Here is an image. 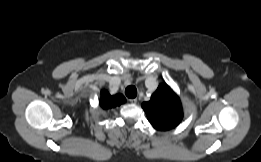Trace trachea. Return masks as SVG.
I'll list each match as a JSON object with an SVG mask.
<instances>
[{
	"mask_svg": "<svg viewBox=\"0 0 261 162\" xmlns=\"http://www.w3.org/2000/svg\"><path fill=\"white\" fill-rule=\"evenodd\" d=\"M125 94L128 98H135L137 95V89L135 86H128L125 89Z\"/></svg>",
	"mask_w": 261,
	"mask_h": 162,
	"instance_id": "trachea-1",
	"label": "trachea"
}]
</instances>
